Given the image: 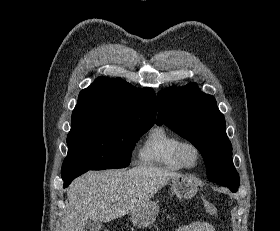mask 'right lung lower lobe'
Returning <instances> with one entry per match:
<instances>
[{"instance_id": "right-lung-lower-lobe-1", "label": "right lung lower lobe", "mask_w": 280, "mask_h": 231, "mask_svg": "<svg viewBox=\"0 0 280 231\" xmlns=\"http://www.w3.org/2000/svg\"><path fill=\"white\" fill-rule=\"evenodd\" d=\"M86 169H62V179L64 181V188L69 186L73 179L80 176L81 174L87 172Z\"/></svg>"}]
</instances>
